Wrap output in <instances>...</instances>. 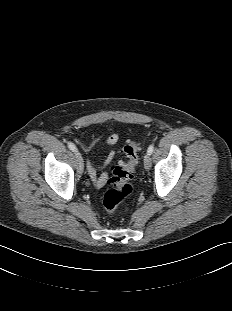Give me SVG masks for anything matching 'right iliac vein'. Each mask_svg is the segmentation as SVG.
<instances>
[{
	"instance_id": "63e3f726",
	"label": "right iliac vein",
	"mask_w": 232,
	"mask_h": 311,
	"mask_svg": "<svg viewBox=\"0 0 232 311\" xmlns=\"http://www.w3.org/2000/svg\"><path fill=\"white\" fill-rule=\"evenodd\" d=\"M76 159H77L78 172L83 173L84 161H83V158L79 152H76Z\"/></svg>"
}]
</instances>
